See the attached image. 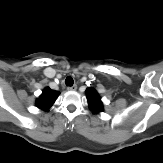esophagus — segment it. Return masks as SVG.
Here are the masks:
<instances>
[{
	"mask_svg": "<svg viewBox=\"0 0 163 163\" xmlns=\"http://www.w3.org/2000/svg\"><path fill=\"white\" fill-rule=\"evenodd\" d=\"M76 89H77V85H73L67 88L68 91H75Z\"/></svg>",
	"mask_w": 163,
	"mask_h": 163,
	"instance_id": "34e87169",
	"label": "esophagus"
}]
</instances>
